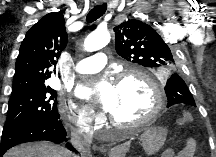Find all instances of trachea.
<instances>
[{
    "instance_id": "3493384b",
    "label": "trachea",
    "mask_w": 216,
    "mask_h": 157,
    "mask_svg": "<svg viewBox=\"0 0 216 157\" xmlns=\"http://www.w3.org/2000/svg\"><path fill=\"white\" fill-rule=\"evenodd\" d=\"M107 10V4L96 5L87 15V22L92 23L100 18Z\"/></svg>"
}]
</instances>
